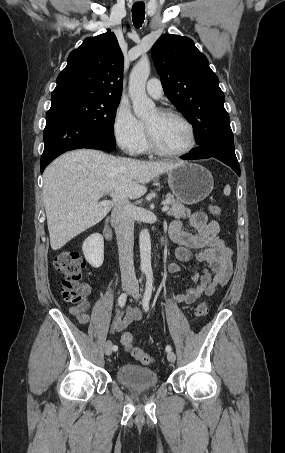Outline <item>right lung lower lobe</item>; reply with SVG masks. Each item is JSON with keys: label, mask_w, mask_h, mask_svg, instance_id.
I'll list each match as a JSON object with an SVG mask.
<instances>
[{"label": "right lung lower lobe", "mask_w": 285, "mask_h": 453, "mask_svg": "<svg viewBox=\"0 0 285 453\" xmlns=\"http://www.w3.org/2000/svg\"><path fill=\"white\" fill-rule=\"evenodd\" d=\"M43 139L45 146L41 156V173L52 160L69 150L91 148L111 151L115 149V142L94 133L68 110L55 106H51L47 112Z\"/></svg>", "instance_id": "1"}]
</instances>
